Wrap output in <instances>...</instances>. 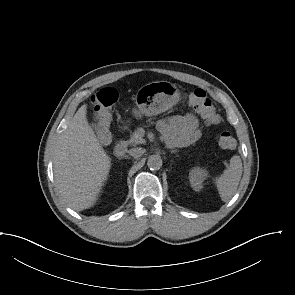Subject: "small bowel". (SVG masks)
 I'll return each instance as SVG.
<instances>
[{
  "label": "small bowel",
  "instance_id": "c3829d8e",
  "mask_svg": "<svg viewBox=\"0 0 295 295\" xmlns=\"http://www.w3.org/2000/svg\"><path fill=\"white\" fill-rule=\"evenodd\" d=\"M158 129L169 146L183 147L195 142L201 134L200 123L192 115H176L158 122Z\"/></svg>",
  "mask_w": 295,
  "mask_h": 295
}]
</instances>
